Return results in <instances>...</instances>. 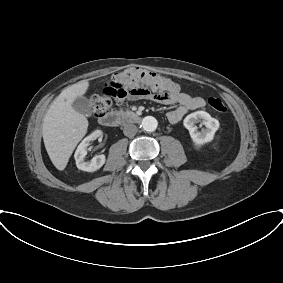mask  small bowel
<instances>
[{"label": "small bowel", "mask_w": 283, "mask_h": 283, "mask_svg": "<svg viewBox=\"0 0 283 283\" xmlns=\"http://www.w3.org/2000/svg\"><path fill=\"white\" fill-rule=\"evenodd\" d=\"M172 89L167 92V97L162 99L157 96H151L147 99L154 100L163 104H178V107L168 112L167 118L170 123H178L182 120L185 114L190 110H195L204 106V99L201 97L191 96L183 92L180 86L171 81ZM139 97L128 95L124 98L118 99V102H124L125 100H137Z\"/></svg>", "instance_id": "c3829d8e"}]
</instances>
